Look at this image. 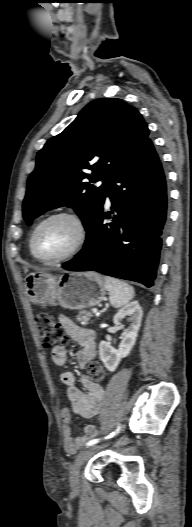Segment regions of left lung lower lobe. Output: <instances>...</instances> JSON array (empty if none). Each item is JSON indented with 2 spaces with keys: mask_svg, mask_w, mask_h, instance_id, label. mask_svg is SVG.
I'll return each instance as SVG.
<instances>
[{
  "mask_svg": "<svg viewBox=\"0 0 192 527\" xmlns=\"http://www.w3.org/2000/svg\"><path fill=\"white\" fill-rule=\"evenodd\" d=\"M106 196L112 200L113 214L104 213V198L82 250L63 268L94 270L153 286L167 215V187L150 139L110 183ZM104 219L111 222L103 224Z\"/></svg>",
  "mask_w": 192,
  "mask_h": 527,
  "instance_id": "left-lung-lower-lobe-1",
  "label": "left lung lower lobe"
}]
</instances>
